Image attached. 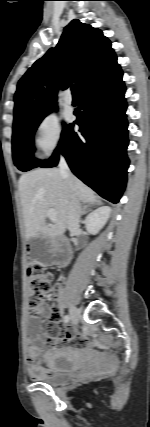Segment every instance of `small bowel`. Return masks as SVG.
Masks as SVG:
<instances>
[{
  "instance_id": "small-bowel-1",
  "label": "small bowel",
  "mask_w": 150,
  "mask_h": 427,
  "mask_svg": "<svg viewBox=\"0 0 150 427\" xmlns=\"http://www.w3.org/2000/svg\"><path fill=\"white\" fill-rule=\"evenodd\" d=\"M42 312L48 315V322H57L61 314V304L52 302L51 309L42 308ZM44 323L43 317H34L29 325L30 334L28 336V372L32 377L44 378L47 375V368L40 366V356L42 348L46 345L55 347L83 348L88 344V339L82 335L66 332L62 335L61 328L55 324L47 335L41 332Z\"/></svg>"
}]
</instances>
